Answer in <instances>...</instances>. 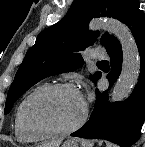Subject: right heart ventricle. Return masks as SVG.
Returning a JSON list of instances; mask_svg holds the SVG:
<instances>
[{
    "instance_id": "1",
    "label": "right heart ventricle",
    "mask_w": 145,
    "mask_h": 147,
    "mask_svg": "<svg viewBox=\"0 0 145 147\" xmlns=\"http://www.w3.org/2000/svg\"><path fill=\"white\" fill-rule=\"evenodd\" d=\"M45 85H41L36 87L35 89H33L30 93H28L19 103V105L17 106V109L15 111V116H14V132H15V136L16 138L21 141V142H35V141H39L42 140L44 138H46V135L40 132H34V131H30L26 128V126L24 125L22 118H21V112H22V107L23 104L26 100V98L35 90L43 87Z\"/></svg>"
}]
</instances>
